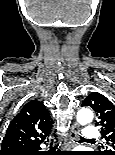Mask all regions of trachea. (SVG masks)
<instances>
[{"label":"trachea","mask_w":115,"mask_h":155,"mask_svg":"<svg viewBox=\"0 0 115 155\" xmlns=\"http://www.w3.org/2000/svg\"><path fill=\"white\" fill-rule=\"evenodd\" d=\"M80 141H88V140H86V139L80 137ZM53 143H56V142L54 141V139H51V144H53Z\"/></svg>","instance_id":"obj_1"}]
</instances>
